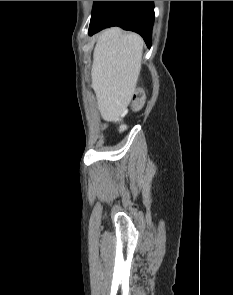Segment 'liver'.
Segmentation results:
<instances>
[{"mask_svg": "<svg viewBox=\"0 0 233 295\" xmlns=\"http://www.w3.org/2000/svg\"><path fill=\"white\" fill-rule=\"evenodd\" d=\"M143 39L118 27L104 30L93 53L91 79L98 110L106 121L119 118L136 90Z\"/></svg>", "mask_w": 233, "mask_h": 295, "instance_id": "1", "label": "liver"}]
</instances>
